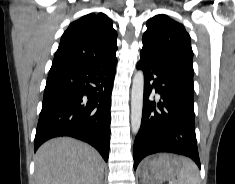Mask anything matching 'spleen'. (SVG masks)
<instances>
[{"mask_svg":"<svg viewBox=\"0 0 235 184\" xmlns=\"http://www.w3.org/2000/svg\"><path fill=\"white\" fill-rule=\"evenodd\" d=\"M182 168L178 172L177 182L175 184H200L199 170L190 160V158H183L181 156Z\"/></svg>","mask_w":235,"mask_h":184,"instance_id":"1","label":"spleen"}]
</instances>
